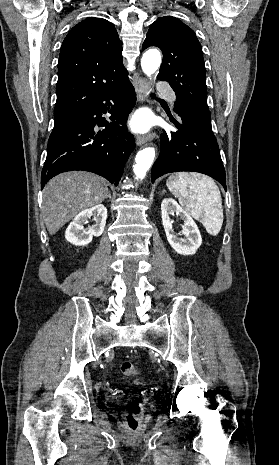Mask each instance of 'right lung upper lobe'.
<instances>
[{
  "label": "right lung upper lobe",
  "mask_w": 279,
  "mask_h": 465,
  "mask_svg": "<svg viewBox=\"0 0 279 465\" xmlns=\"http://www.w3.org/2000/svg\"><path fill=\"white\" fill-rule=\"evenodd\" d=\"M115 26L89 18L74 26L64 39L58 62L54 125L75 114L128 80Z\"/></svg>",
  "instance_id": "right-lung-upper-lobe-1"
}]
</instances>
